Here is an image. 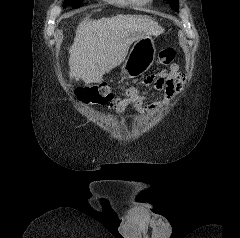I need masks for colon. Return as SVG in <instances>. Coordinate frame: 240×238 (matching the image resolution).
Segmentation results:
<instances>
[{"mask_svg":"<svg viewBox=\"0 0 240 238\" xmlns=\"http://www.w3.org/2000/svg\"><path fill=\"white\" fill-rule=\"evenodd\" d=\"M176 53L173 48H165L159 52L158 61L161 64H171L175 59ZM76 97L83 103L105 104L112 101V88L107 83L93 84L76 89Z\"/></svg>","mask_w":240,"mask_h":238,"instance_id":"1","label":"colon"}]
</instances>
